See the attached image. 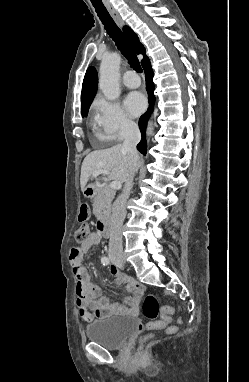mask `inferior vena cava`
Here are the masks:
<instances>
[{
  "instance_id": "1",
  "label": "inferior vena cava",
  "mask_w": 249,
  "mask_h": 382,
  "mask_svg": "<svg viewBox=\"0 0 249 382\" xmlns=\"http://www.w3.org/2000/svg\"><path fill=\"white\" fill-rule=\"evenodd\" d=\"M141 133L139 127L135 123H128L125 128V139L123 149L127 151L131 166L122 194L116 199L112 208V218L110 223V241L108 255L110 258L122 257V224L126 215V201L129 198L130 191L133 187V179L139 166V155L137 152V144L140 142Z\"/></svg>"
}]
</instances>
